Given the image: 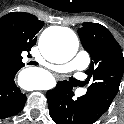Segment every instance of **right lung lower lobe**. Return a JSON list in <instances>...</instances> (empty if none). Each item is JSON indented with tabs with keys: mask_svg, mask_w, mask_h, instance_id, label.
<instances>
[{
	"mask_svg": "<svg viewBox=\"0 0 124 124\" xmlns=\"http://www.w3.org/2000/svg\"><path fill=\"white\" fill-rule=\"evenodd\" d=\"M17 72L14 69L0 71V119L17 114L26 102V95L21 93L14 81Z\"/></svg>",
	"mask_w": 124,
	"mask_h": 124,
	"instance_id": "1",
	"label": "right lung lower lobe"
}]
</instances>
